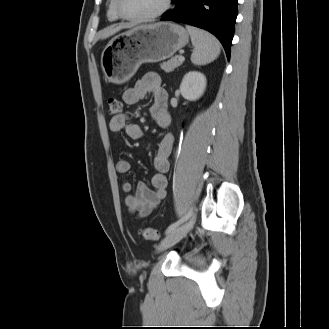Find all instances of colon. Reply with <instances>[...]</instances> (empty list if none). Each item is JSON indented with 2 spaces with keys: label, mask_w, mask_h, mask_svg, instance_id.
<instances>
[{
  "label": "colon",
  "mask_w": 329,
  "mask_h": 329,
  "mask_svg": "<svg viewBox=\"0 0 329 329\" xmlns=\"http://www.w3.org/2000/svg\"><path fill=\"white\" fill-rule=\"evenodd\" d=\"M108 109L111 115H119L122 111V103L119 98L110 97L108 99ZM139 234L142 238L151 241H158L161 238V234L158 230L153 228H141Z\"/></svg>",
  "instance_id": "obj_1"
}]
</instances>
